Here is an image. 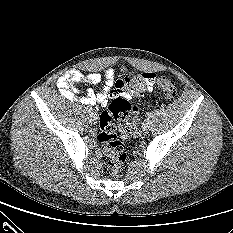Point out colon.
<instances>
[{
  "label": "colon",
  "mask_w": 233,
  "mask_h": 233,
  "mask_svg": "<svg viewBox=\"0 0 233 233\" xmlns=\"http://www.w3.org/2000/svg\"><path fill=\"white\" fill-rule=\"evenodd\" d=\"M144 78L140 75L131 76L128 81V89L133 94L135 102L142 98V87ZM158 88L168 98L174 99L178 92L177 84L167 76H159L156 80ZM119 126L123 137H134L138 134V108L132 106L125 97H118L112 100L108 108L102 113L100 119V132L98 141L101 149L108 159V169L112 176L117 177L121 173V168L127 158V154L122 142L115 135L113 121Z\"/></svg>",
  "instance_id": "5ec220e1"
}]
</instances>
